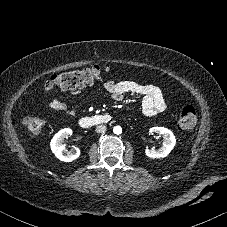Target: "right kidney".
Listing matches in <instances>:
<instances>
[{
  "mask_svg": "<svg viewBox=\"0 0 227 227\" xmlns=\"http://www.w3.org/2000/svg\"><path fill=\"white\" fill-rule=\"evenodd\" d=\"M72 130L70 128H65L60 130L54 135L51 140L50 146L54 155L61 161L71 162L80 156V149L74 148L68 151L63 144V140L72 135Z\"/></svg>",
  "mask_w": 227,
  "mask_h": 227,
  "instance_id": "ca27d5eb",
  "label": "right kidney"
}]
</instances>
